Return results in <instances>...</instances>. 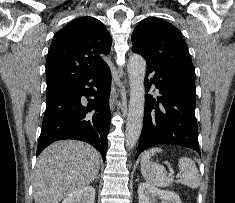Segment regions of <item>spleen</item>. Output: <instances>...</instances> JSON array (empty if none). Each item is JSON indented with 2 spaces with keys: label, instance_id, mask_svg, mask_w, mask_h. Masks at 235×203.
Instances as JSON below:
<instances>
[{
  "label": "spleen",
  "instance_id": "1",
  "mask_svg": "<svg viewBox=\"0 0 235 203\" xmlns=\"http://www.w3.org/2000/svg\"><path fill=\"white\" fill-rule=\"evenodd\" d=\"M159 152H162L161 148H152L143 154L141 159V173L148 183L158 187H168L174 182V179L167 175L164 166L150 162V158ZM178 167L181 176L180 179L176 180V183L184 184L193 189L198 188L200 178L194 161L188 157H181Z\"/></svg>",
  "mask_w": 235,
  "mask_h": 203
}]
</instances>
